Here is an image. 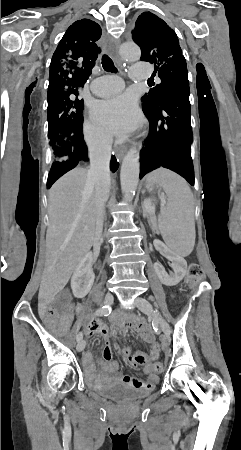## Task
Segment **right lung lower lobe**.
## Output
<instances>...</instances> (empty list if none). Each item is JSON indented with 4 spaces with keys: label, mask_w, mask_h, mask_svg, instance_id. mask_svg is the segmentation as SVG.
<instances>
[{
    "label": "right lung lower lobe",
    "mask_w": 241,
    "mask_h": 450,
    "mask_svg": "<svg viewBox=\"0 0 241 450\" xmlns=\"http://www.w3.org/2000/svg\"><path fill=\"white\" fill-rule=\"evenodd\" d=\"M62 134L68 139L69 144L72 147V156L67 160L52 163V167L48 175L47 188H50L59 177L76 167L79 163L89 161L87 146L83 139L82 123L64 127L62 129ZM118 167L119 164L115 156H112L110 162L111 171L115 172Z\"/></svg>",
    "instance_id": "98d812e1"
}]
</instances>
